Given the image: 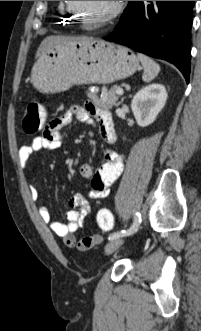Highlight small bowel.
I'll return each mask as SVG.
<instances>
[{"label":"small bowel","mask_w":201,"mask_h":331,"mask_svg":"<svg viewBox=\"0 0 201 331\" xmlns=\"http://www.w3.org/2000/svg\"><path fill=\"white\" fill-rule=\"evenodd\" d=\"M73 119L87 124H94L96 121L102 139L108 144L115 142L116 134L109 111L92 103H87L85 106H71L63 115L52 119L41 136L35 137L30 144L23 145L19 149V163L28 180L31 181L34 176L31 163L32 154L40 150L51 151L61 148L63 145L62 129ZM122 170L123 163L120 155L111 148H106L103 152V163L96 172H93L89 164L80 166L79 173L81 177L89 180L90 192L88 198L75 194L69 199L70 209L66 212L67 222L53 221L49 207L44 204L40 205L38 209L42 220L50 224L53 233L61 237L68 247L77 246L75 233L83 226L86 216L90 213L89 199L106 197L109 187L121 175ZM30 193L35 200L39 198V191L33 184H30Z\"/></svg>","instance_id":"c3829d8e"}]
</instances>
